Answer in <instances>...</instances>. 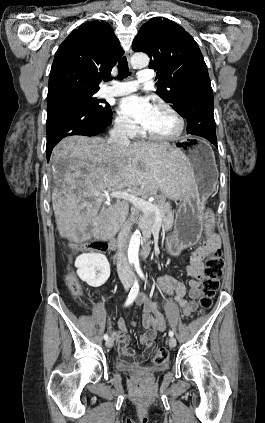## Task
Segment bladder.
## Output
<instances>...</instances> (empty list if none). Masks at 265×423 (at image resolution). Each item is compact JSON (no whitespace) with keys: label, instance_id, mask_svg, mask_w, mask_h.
I'll list each match as a JSON object with an SVG mask.
<instances>
[{"label":"bladder","instance_id":"31cf9c89","mask_svg":"<svg viewBox=\"0 0 265 423\" xmlns=\"http://www.w3.org/2000/svg\"><path fill=\"white\" fill-rule=\"evenodd\" d=\"M166 366V365H165ZM165 366H155V367H145V366H139L132 364L130 362H126L124 360H118L116 363V367L123 371H129V372H141V371H148V372H155L157 370H160L164 368Z\"/></svg>","mask_w":265,"mask_h":423}]
</instances>
